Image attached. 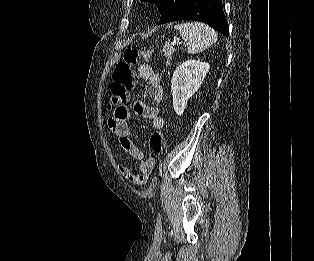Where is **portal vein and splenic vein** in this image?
Segmentation results:
<instances>
[{
  "label": "portal vein and splenic vein",
  "instance_id": "18ae733b",
  "mask_svg": "<svg viewBox=\"0 0 314 261\" xmlns=\"http://www.w3.org/2000/svg\"><path fill=\"white\" fill-rule=\"evenodd\" d=\"M172 44H173V45L176 44V40H174Z\"/></svg>",
  "mask_w": 314,
  "mask_h": 261
}]
</instances>
